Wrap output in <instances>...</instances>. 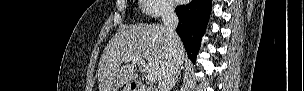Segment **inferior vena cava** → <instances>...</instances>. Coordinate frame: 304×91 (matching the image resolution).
Wrapping results in <instances>:
<instances>
[{
	"mask_svg": "<svg viewBox=\"0 0 304 91\" xmlns=\"http://www.w3.org/2000/svg\"><path fill=\"white\" fill-rule=\"evenodd\" d=\"M162 21L166 29L168 51L171 55V59L167 68L164 70L162 77L159 79L158 91H171L172 84L177 77L179 70V64L177 61V43L180 41V38L176 33L179 20L173 5L164 6Z\"/></svg>",
	"mask_w": 304,
	"mask_h": 91,
	"instance_id": "obj_1",
	"label": "inferior vena cava"
}]
</instances>
